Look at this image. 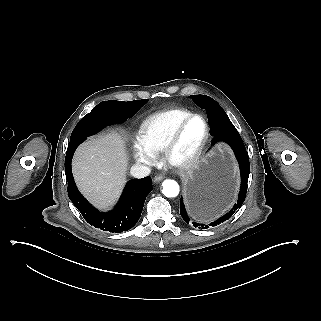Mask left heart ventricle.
Masks as SVG:
<instances>
[{"instance_id": "b2bd125f", "label": "left heart ventricle", "mask_w": 321, "mask_h": 321, "mask_svg": "<svg viewBox=\"0 0 321 321\" xmlns=\"http://www.w3.org/2000/svg\"><path fill=\"white\" fill-rule=\"evenodd\" d=\"M204 135V124L199 118L190 121L182 130L178 141V154L187 156L194 151Z\"/></svg>"}]
</instances>
